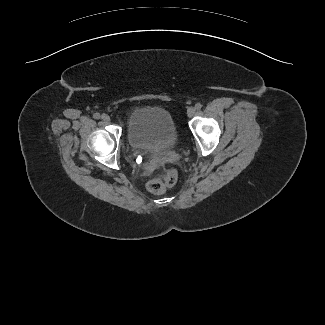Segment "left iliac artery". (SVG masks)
Returning <instances> with one entry per match:
<instances>
[{
	"label": "left iliac artery",
	"mask_w": 325,
	"mask_h": 325,
	"mask_svg": "<svg viewBox=\"0 0 325 325\" xmlns=\"http://www.w3.org/2000/svg\"><path fill=\"white\" fill-rule=\"evenodd\" d=\"M195 108H196L197 110H200V109L202 108V104H201V103H197V104L195 105Z\"/></svg>",
	"instance_id": "left-iliac-artery-1"
}]
</instances>
